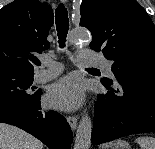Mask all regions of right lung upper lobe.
I'll return each instance as SVG.
<instances>
[{
  "instance_id": "right-lung-upper-lobe-1",
  "label": "right lung upper lobe",
  "mask_w": 155,
  "mask_h": 149,
  "mask_svg": "<svg viewBox=\"0 0 155 149\" xmlns=\"http://www.w3.org/2000/svg\"><path fill=\"white\" fill-rule=\"evenodd\" d=\"M54 17L38 0H15L0 10V67L34 74L40 61L33 52L49 47L47 36Z\"/></svg>"
}]
</instances>
